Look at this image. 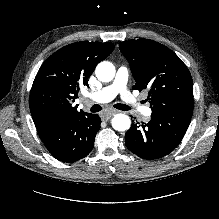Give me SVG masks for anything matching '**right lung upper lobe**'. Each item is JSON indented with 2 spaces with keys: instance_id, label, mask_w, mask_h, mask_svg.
Segmentation results:
<instances>
[{
  "instance_id": "cb5924a9",
  "label": "right lung upper lobe",
  "mask_w": 219,
  "mask_h": 219,
  "mask_svg": "<svg viewBox=\"0 0 219 219\" xmlns=\"http://www.w3.org/2000/svg\"><path fill=\"white\" fill-rule=\"evenodd\" d=\"M114 44L106 42H77L52 54L40 67L29 98L35 126L58 118L75 115L79 83L88 86L87 79L96 65L108 57Z\"/></svg>"
}]
</instances>
